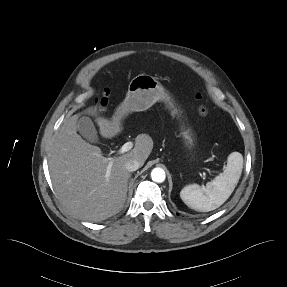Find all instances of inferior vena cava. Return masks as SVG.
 Returning <instances> with one entry per match:
<instances>
[{
  "label": "inferior vena cava",
  "instance_id": "1",
  "mask_svg": "<svg viewBox=\"0 0 287 287\" xmlns=\"http://www.w3.org/2000/svg\"><path fill=\"white\" fill-rule=\"evenodd\" d=\"M124 166L128 172H132L139 169L141 167V163L136 159H129L128 161L125 162Z\"/></svg>",
  "mask_w": 287,
  "mask_h": 287
}]
</instances>
